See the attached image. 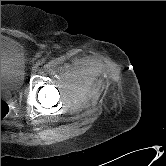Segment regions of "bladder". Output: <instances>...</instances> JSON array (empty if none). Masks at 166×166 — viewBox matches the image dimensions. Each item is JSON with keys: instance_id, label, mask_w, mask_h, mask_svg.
<instances>
[{"instance_id": "bladder-1", "label": "bladder", "mask_w": 166, "mask_h": 166, "mask_svg": "<svg viewBox=\"0 0 166 166\" xmlns=\"http://www.w3.org/2000/svg\"><path fill=\"white\" fill-rule=\"evenodd\" d=\"M24 78L25 61L20 44L1 35V91L18 90Z\"/></svg>"}]
</instances>
